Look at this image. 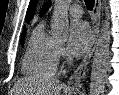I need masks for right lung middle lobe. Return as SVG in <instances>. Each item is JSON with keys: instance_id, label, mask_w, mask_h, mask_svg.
<instances>
[{"instance_id": "obj_1", "label": "right lung middle lobe", "mask_w": 119, "mask_h": 95, "mask_svg": "<svg viewBox=\"0 0 119 95\" xmlns=\"http://www.w3.org/2000/svg\"><path fill=\"white\" fill-rule=\"evenodd\" d=\"M25 35H26V32H24V33L22 34V37H21V44H23V40H24V38H25Z\"/></svg>"}]
</instances>
